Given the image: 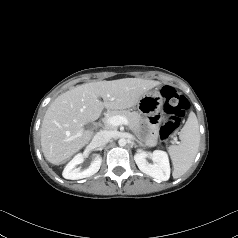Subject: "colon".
<instances>
[{"mask_svg":"<svg viewBox=\"0 0 238 238\" xmlns=\"http://www.w3.org/2000/svg\"><path fill=\"white\" fill-rule=\"evenodd\" d=\"M161 95L164 99V106L160 120V135L166 139L180 126L181 119L189 107V102L185 96L171 86H164Z\"/></svg>","mask_w":238,"mask_h":238,"instance_id":"5ec220e1","label":"colon"}]
</instances>
